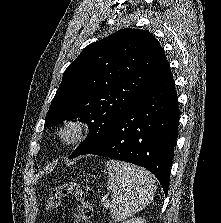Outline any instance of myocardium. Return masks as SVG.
Wrapping results in <instances>:
<instances>
[{
	"label": "myocardium",
	"mask_w": 221,
	"mask_h": 223,
	"mask_svg": "<svg viewBox=\"0 0 221 223\" xmlns=\"http://www.w3.org/2000/svg\"><path fill=\"white\" fill-rule=\"evenodd\" d=\"M92 131V126L81 116L66 118L59 125L55 137L65 147L77 146L85 142Z\"/></svg>",
	"instance_id": "obj_1"
}]
</instances>
